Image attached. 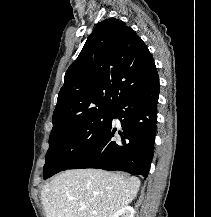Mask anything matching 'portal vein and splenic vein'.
<instances>
[{"mask_svg": "<svg viewBox=\"0 0 211 217\" xmlns=\"http://www.w3.org/2000/svg\"><path fill=\"white\" fill-rule=\"evenodd\" d=\"M81 208H82V209H86V206L83 205V206H81Z\"/></svg>", "mask_w": 211, "mask_h": 217, "instance_id": "obj_1", "label": "portal vein and splenic vein"}]
</instances>
